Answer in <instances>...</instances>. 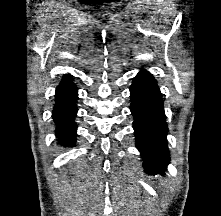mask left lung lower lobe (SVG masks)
I'll return each instance as SVG.
<instances>
[{
  "mask_svg": "<svg viewBox=\"0 0 221 216\" xmlns=\"http://www.w3.org/2000/svg\"><path fill=\"white\" fill-rule=\"evenodd\" d=\"M130 97L136 147L141 153L143 167L147 173L161 172L170 162L168 126L161 92L149 72L141 70L133 78Z\"/></svg>",
  "mask_w": 221,
  "mask_h": 216,
  "instance_id": "left-lung-lower-lobe-1",
  "label": "left lung lower lobe"
}]
</instances>
